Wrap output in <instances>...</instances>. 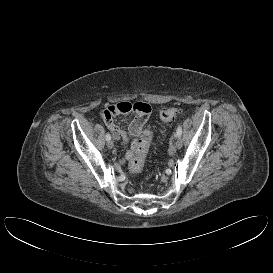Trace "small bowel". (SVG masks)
Here are the masks:
<instances>
[{
	"label": "small bowel",
	"mask_w": 273,
	"mask_h": 273,
	"mask_svg": "<svg viewBox=\"0 0 273 273\" xmlns=\"http://www.w3.org/2000/svg\"><path fill=\"white\" fill-rule=\"evenodd\" d=\"M128 113H133L135 115L128 128L129 135L135 139L132 142L131 149L125 153L123 161L131 159L135 145L138 141L137 137L142 133L143 127L151 114V106L148 103L141 101L136 103L123 101L109 105L101 112V118L111 130L113 137L124 143L128 141V135L115 124L113 117L119 114Z\"/></svg>",
	"instance_id": "small-bowel-1"
}]
</instances>
